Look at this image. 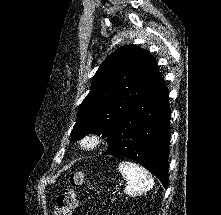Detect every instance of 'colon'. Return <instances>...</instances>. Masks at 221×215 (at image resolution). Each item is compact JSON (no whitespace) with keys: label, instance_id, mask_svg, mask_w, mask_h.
I'll use <instances>...</instances> for the list:
<instances>
[{"label":"colon","instance_id":"1","mask_svg":"<svg viewBox=\"0 0 221 215\" xmlns=\"http://www.w3.org/2000/svg\"><path fill=\"white\" fill-rule=\"evenodd\" d=\"M83 182L84 173L75 171L69 175V187L65 188L58 195L56 205L54 206L53 215H72L73 210L78 204L75 189L80 187Z\"/></svg>","mask_w":221,"mask_h":215}]
</instances>
